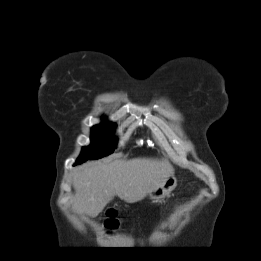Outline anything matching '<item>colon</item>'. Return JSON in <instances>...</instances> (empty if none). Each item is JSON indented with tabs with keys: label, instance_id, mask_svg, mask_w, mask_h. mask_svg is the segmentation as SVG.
Returning <instances> with one entry per match:
<instances>
[{
	"label": "colon",
	"instance_id": "colon-1",
	"mask_svg": "<svg viewBox=\"0 0 261 261\" xmlns=\"http://www.w3.org/2000/svg\"><path fill=\"white\" fill-rule=\"evenodd\" d=\"M106 220H105V227L108 230H114L117 228L118 226V221H117V213L115 210L111 209L107 212V216H106Z\"/></svg>",
	"mask_w": 261,
	"mask_h": 261
}]
</instances>
